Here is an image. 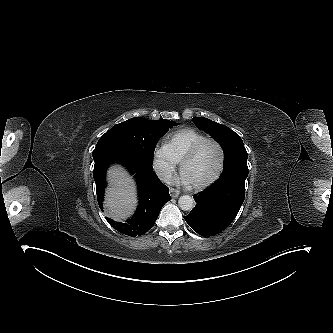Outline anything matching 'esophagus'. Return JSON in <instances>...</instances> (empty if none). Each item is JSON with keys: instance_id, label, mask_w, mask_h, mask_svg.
Here are the masks:
<instances>
[{"instance_id": "1", "label": "esophagus", "mask_w": 333, "mask_h": 333, "mask_svg": "<svg viewBox=\"0 0 333 333\" xmlns=\"http://www.w3.org/2000/svg\"><path fill=\"white\" fill-rule=\"evenodd\" d=\"M180 192L174 188H170V195L172 198H177L179 196Z\"/></svg>"}]
</instances>
